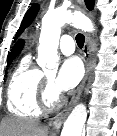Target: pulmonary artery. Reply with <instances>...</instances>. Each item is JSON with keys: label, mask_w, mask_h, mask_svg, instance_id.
<instances>
[{"label": "pulmonary artery", "mask_w": 117, "mask_h": 136, "mask_svg": "<svg viewBox=\"0 0 117 136\" xmlns=\"http://www.w3.org/2000/svg\"><path fill=\"white\" fill-rule=\"evenodd\" d=\"M59 49L65 55L72 54L75 50L73 38L69 35H63L60 39Z\"/></svg>", "instance_id": "pulmonary-artery-1"}]
</instances>
